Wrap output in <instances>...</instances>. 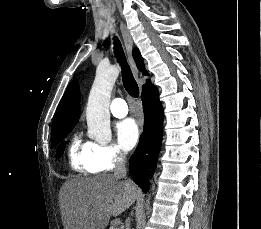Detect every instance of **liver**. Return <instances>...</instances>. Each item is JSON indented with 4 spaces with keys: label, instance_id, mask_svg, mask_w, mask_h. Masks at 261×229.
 <instances>
[{
    "label": "liver",
    "instance_id": "liver-1",
    "mask_svg": "<svg viewBox=\"0 0 261 229\" xmlns=\"http://www.w3.org/2000/svg\"><path fill=\"white\" fill-rule=\"evenodd\" d=\"M66 229H105L137 199L134 183L113 175L71 179L64 185Z\"/></svg>",
    "mask_w": 261,
    "mask_h": 229
}]
</instances>
